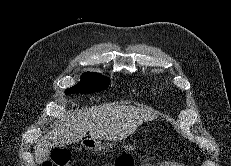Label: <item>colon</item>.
Here are the masks:
<instances>
[{
	"label": "colon",
	"mask_w": 231,
	"mask_h": 166,
	"mask_svg": "<svg viewBox=\"0 0 231 166\" xmlns=\"http://www.w3.org/2000/svg\"><path fill=\"white\" fill-rule=\"evenodd\" d=\"M71 164V155L66 149H55L51 153V159L42 166H67ZM134 160L129 155H122L115 161V166H133Z\"/></svg>",
	"instance_id": "1"
}]
</instances>
